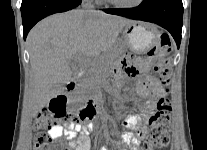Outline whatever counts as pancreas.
Wrapping results in <instances>:
<instances>
[{
    "mask_svg": "<svg viewBox=\"0 0 207 150\" xmlns=\"http://www.w3.org/2000/svg\"><path fill=\"white\" fill-rule=\"evenodd\" d=\"M115 56L108 55L97 58L90 65L87 76L81 82V88L87 92H92L101 84V78L106 74V71L112 66Z\"/></svg>",
    "mask_w": 207,
    "mask_h": 150,
    "instance_id": "cf45deb5",
    "label": "pancreas"
}]
</instances>
